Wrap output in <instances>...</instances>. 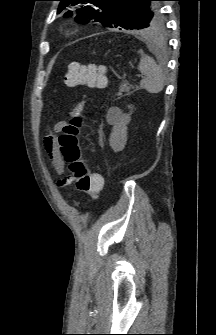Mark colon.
<instances>
[{
  "label": "colon",
  "instance_id": "obj_1",
  "mask_svg": "<svg viewBox=\"0 0 216 335\" xmlns=\"http://www.w3.org/2000/svg\"><path fill=\"white\" fill-rule=\"evenodd\" d=\"M66 83L70 86L105 87L107 78L103 65L70 62L67 65ZM84 123L82 115H75L62 129L58 137L60 153L73 175L77 188L97 199L103 188V177L89 171L81 157L79 135Z\"/></svg>",
  "mask_w": 216,
  "mask_h": 335
}]
</instances>
